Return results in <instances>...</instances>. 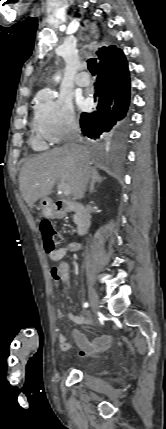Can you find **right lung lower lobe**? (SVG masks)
I'll return each instance as SVG.
<instances>
[{
    "mask_svg": "<svg viewBox=\"0 0 166 429\" xmlns=\"http://www.w3.org/2000/svg\"><path fill=\"white\" fill-rule=\"evenodd\" d=\"M94 85L97 106L94 111L81 114L80 127L84 136L99 139L119 133L128 113L130 78L127 60L121 49L116 55L99 60Z\"/></svg>",
    "mask_w": 166,
    "mask_h": 429,
    "instance_id": "obj_1",
    "label": "right lung lower lobe"
}]
</instances>
